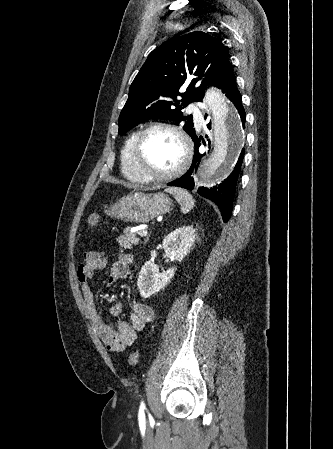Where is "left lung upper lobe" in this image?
I'll list each match as a JSON object with an SVG mask.
<instances>
[{"mask_svg":"<svg viewBox=\"0 0 333 449\" xmlns=\"http://www.w3.org/2000/svg\"><path fill=\"white\" fill-rule=\"evenodd\" d=\"M231 73L225 46L207 33L195 31L163 43L149 54L130 86L119 117V134L142 121L160 118L184 122V130L195 135L192 115L184 116L181 110L202 101L206 86L221 88ZM178 95L182 96L179 101Z\"/></svg>","mask_w":333,"mask_h":449,"instance_id":"obj_1","label":"left lung upper lobe"}]
</instances>
